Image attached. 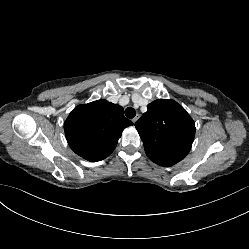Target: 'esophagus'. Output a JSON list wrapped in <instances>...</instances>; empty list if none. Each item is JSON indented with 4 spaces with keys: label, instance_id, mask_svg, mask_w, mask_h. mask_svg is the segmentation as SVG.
I'll use <instances>...</instances> for the list:
<instances>
[{
    "label": "esophagus",
    "instance_id": "34e87169",
    "mask_svg": "<svg viewBox=\"0 0 249 249\" xmlns=\"http://www.w3.org/2000/svg\"><path fill=\"white\" fill-rule=\"evenodd\" d=\"M139 115H136L133 119H132V121H133V123H135L138 119H139Z\"/></svg>",
    "mask_w": 249,
    "mask_h": 249
}]
</instances>
